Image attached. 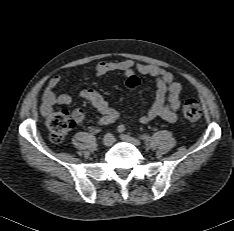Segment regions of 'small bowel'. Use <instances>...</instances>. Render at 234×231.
Wrapping results in <instances>:
<instances>
[{
	"label": "small bowel",
	"mask_w": 234,
	"mask_h": 231,
	"mask_svg": "<svg viewBox=\"0 0 234 231\" xmlns=\"http://www.w3.org/2000/svg\"><path fill=\"white\" fill-rule=\"evenodd\" d=\"M112 72H121L125 78L134 72L152 77L156 83V93L152 105L140 117L141 123H148L154 119L161 118L168 122L177 120V111L180 108V93L182 84L175 80L172 73L151 64L136 63L132 60L123 61H100L95 65V73L103 77ZM62 82L59 74L54 75L48 82L43 96L41 111L43 114L51 112L55 104L68 106L72 103V97L68 94H57L56 90ZM81 98L90 102L102 118L107 121H116L119 118L118 111L95 89L86 88L80 92ZM76 123L81 124L84 120V111L77 109L73 113Z\"/></svg>",
	"instance_id": "small-bowel-1"
}]
</instances>
